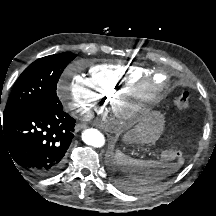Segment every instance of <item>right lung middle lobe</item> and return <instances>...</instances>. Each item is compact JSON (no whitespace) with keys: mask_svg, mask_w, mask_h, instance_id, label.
<instances>
[{"mask_svg":"<svg viewBox=\"0 0 216 216\" xmlns=\"http://www.w3.org/2000/svg\"><path fill=\"white\" fill-rule=\"evenodd\" d=\"M75 57L70 52H64L37 59L30 64L17 79L3 118L17 115L34 106L57 103L58 79Z\"/></svg>","mask_w":216,"mask_h":216,"instance_id":"right-lung-middle-lobe-1","label":"right lung middle lobe"}]
</instances>
